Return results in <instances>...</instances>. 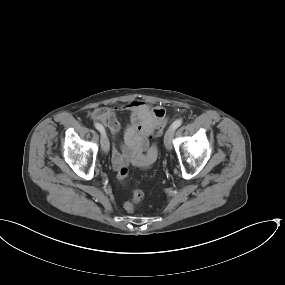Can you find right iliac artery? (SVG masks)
Wrapping results in <instances>:
<instances>
[{"label":"right iliac artery","mask_w":285,"mask_h":285,"mask_svg":"<svg viewBox=\"0 0 285 285\" xmlns=\"http://www.w3.org/2000/svg\"><path fill=\"white\" fill-rule=\"evenodd\" d=\"M95 128L98 130V131H100L101 133L102 132H105V129H104V127L101 125V124H99V123H95Z\"/></svg>","instance_id":"1"}]
</instances>
